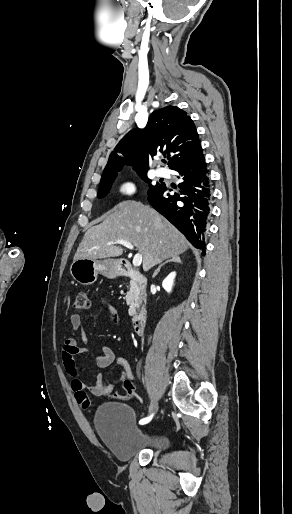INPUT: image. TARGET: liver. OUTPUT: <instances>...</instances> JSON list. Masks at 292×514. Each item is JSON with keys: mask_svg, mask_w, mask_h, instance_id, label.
Listing matches in <instances>:
<instances>
[{"mask_svg": "<svg viewBox=\"0 0 292 514\" xmlns=\"http://www.w3.org/2000/svg\"><path fill=\"white\" fill-rule=\"evenodd\" d=\"M108 214L102 224L87 230L74 260L122 256L121 246H109V242L126 240L138 248L143 256V270L148 272L163 260L183 254L190 246L166 218L140 202H121Z\"/></svg>", "mask_w": 292, "mask_h": 514, "instance_id": "6515ba94", "label": "liver"}]
</instances>
